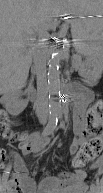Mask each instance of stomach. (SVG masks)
Returning a JSON list of instances; mask_svg holds the SVG:
<instances>
[{"label": "stomach", "mask_w": 103, "mask_h": 193, "mask_svg": "<svg viewBox=\"0 0 103 193\" xmlns=\"http://www.w3.org/2000/svg\"><path fill=\"white\" fill-rule=\"evenodd\" d=\"M81 4L74 8L72 13H76L78 15H82L85 17H92L93 19H97L98 14L101 13V0H80ZM90 39L89 38H81L79 47L84 51L85 55L88 56L90 52Z\"/></svg>", "instance_id": "1"}]
</instances>
